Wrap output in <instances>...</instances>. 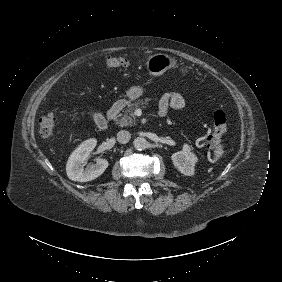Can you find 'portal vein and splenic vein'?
<instances>
[{"mask_svg":"<svg viewBox=\"0 0 282 282\" xmlns=\"http://www.w3.org/2000/svg\"><path fill=\"white\" fill-rule=\"evenodd\" d=\"M137 116H138V117H139V116L141 117L142 115H141V114H140V115L138 114Z\"/></svg>","mask_w":282,"mask_h":282,"instance_id":"portal-vein-and-splenic-vein-1","label":"portal vein and splenic vein"}]
</instances>
